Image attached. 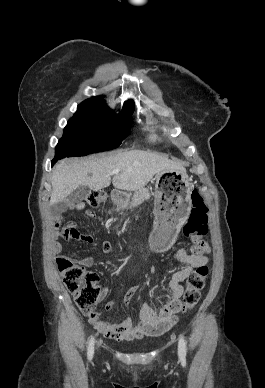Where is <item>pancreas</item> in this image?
<instances>
[{
    "label": "pancreas",
    "mask_w": 265,
    "mask_h": 388,
    "mask_svg": "<svg viewBox=\"0 0 265 388\" xmlns=\"http://www.w3.org/2000/svg\"><path fill=\"white\" fill-rule=\"evenodd\" d=\"M150 198V192L147 190V188H139V190L134 192L130 208H134V206H140L144 200H150Z\"/></svg>",
    "instance_id": "pancreas-1"
}]
</instances>
